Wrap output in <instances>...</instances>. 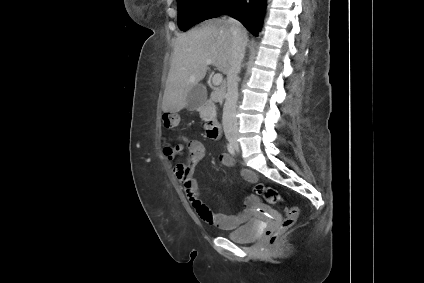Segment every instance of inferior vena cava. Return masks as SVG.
Returning a JSON list of instances; mask_svg holds the SVG:
<instances>
[{
	"label": "inferior vena cava",
	"instance_id": "1",
	"mask_svg": "<svg viewBox=\"0 0 424 283\" xmlns=\"http://www.w3.org/2000/svg\"><path fill=\"white\" fill-rule=\"evenodd\" d=\"M228 22L232 32L233 43L230 68L227 74L226 100L222 117L223 129L227 137L238 131V122L236 118L238 75L241 71L247 45V34L242 24L234 18H229Z\"/></svg>",
	"mask_w": 424,
	"mask_h": 283
}]
</instances>
